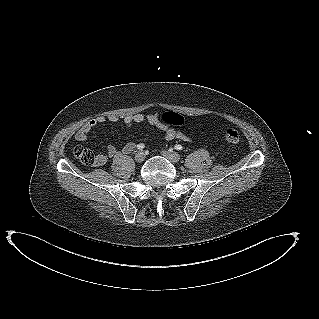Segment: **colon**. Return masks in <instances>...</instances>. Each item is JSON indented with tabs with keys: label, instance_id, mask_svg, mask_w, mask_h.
<instances>
[{
	"label": "colon",
	"instance_id": "5ec220e1",
	"mask_svg": "<svg viewBox=\"0 0 319 319\" xmlns=\"http://www.w3.org/2000/svg\"><path fill=\"white\" fill-rule=\"evenodd\" d=\"M162 123L168 126H181L184 122L183 117L176 112H165L160 116ZM223 136L230 143H237L240 139L239 133L234 128H226L223 131ZM74 155L85 165H92L95 162L93 152L83 146L77 145L73 148Z\"/></svg>",
	"mask_w": 319,
	"mask_h": 319
}]
</instances>
